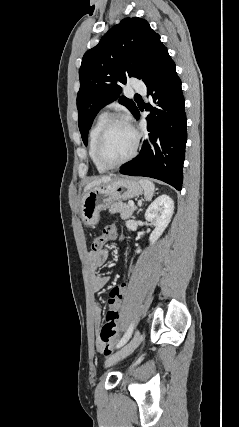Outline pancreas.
Wrapping results in <instances>:
<instances>
[{
  "instance_id": "1",
  "label": "pancreas",
  "mask_w": 239,
  "mask_h": 427,
  "mask_svg": "<svg viewBox=\"0 0 239 427\" xmlns=\"http://www.w3.org/2000/svg\"><path fill=\"white\" fill-rule=\"evenodd\" d=\"M134 210L135 208H132L128 204L122 202L113 203L109 208V212L111 214L120 213L121 219L123 220L129 219L132 216Z\"/></svg>"
}]
</instances>
